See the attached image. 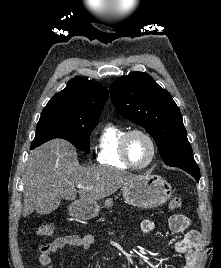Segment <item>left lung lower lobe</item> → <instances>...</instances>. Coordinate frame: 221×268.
Wrapping results in <instances>:
<instances>
[{
	"mask_svg": "<svg viewBox=\"0 0 221 268\" xmlns=\"http://www.w3.org/2000/svg\"><path fill=\"white\" fill-rule=\"evenodd\" d=\"M177 167H179V168L185 170L186 172H188L189 174H191L196 179V181L199 182L200 171H199V168H198L196 163L179 165Z\"/></svg>",
	"mask_w": 221,
	"mask_h": 268,
	"instance_id": "0a47b994",
	"label": "left lung lower lobe"
}]
</instances>
